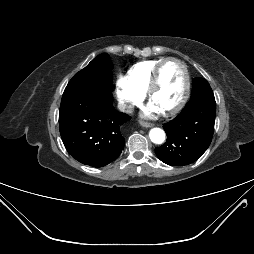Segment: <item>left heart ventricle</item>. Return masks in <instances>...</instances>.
Here are the masks:
<instances>
[{
  "instance_id": "1",
  "label": "left heart ventricle",
  "mask_w": 254,
  "mask_h": 254,
  "mask_svg": "<svg viewBox=\"0 0 254 254\" xmlns=\"http://www.w3.org/2000/svg\"><path fill=\"white\" fill-rule=\"evenodd\" d=\"M184 87L183 71L179 64L170 61L164 65L160 83L151 98V104L160 111H166L177 104Z\"/></svg>"
}]
</instances>
